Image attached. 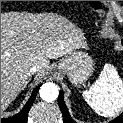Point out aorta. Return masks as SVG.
I'll return each instance as SVG.
<instances>
[{
    "instance_id": "762f6f07",
    "label": "aorta",
    "mask_w": 123,
    "mask_h": 123,
    "mask_svg": "<svg viewBox=\"0 0 123 123\" xmlns=\"http://www.w3.org/2000/svg\"><path fill=\"white\" fill-rule=\"evenodd\" d=\"M40 97L46 102H52L57 99L59 91L54 83H45L40 88Z\"/></svg>"
}]
</instances>
